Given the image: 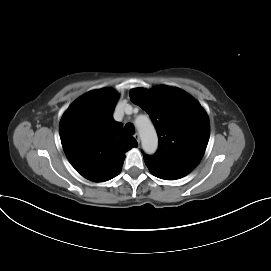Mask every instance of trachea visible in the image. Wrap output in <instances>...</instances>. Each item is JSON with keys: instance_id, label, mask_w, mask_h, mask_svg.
<instances>
[{"instance_id": "obj_1", "label": "trachea", "mask_w": 271, "mask_h": 271, "mask_svg": "<svg viewBox=\"0 0 271 271\" xmlns=\"http://www.w3.org/2000/svg\"><path fill=\"white\" fill-rule=\"evenodd\" d=\"M124 130L128 135H133L135 132V129L132 123H127L124 127Z\"/></svg>"}]
</instances>
